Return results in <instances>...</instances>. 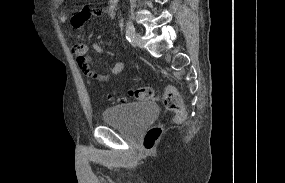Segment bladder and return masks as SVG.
Wrapping results in <instances>:
<instances>
[{
  "label": "bladder",
  "mask_w": 285,
  "mask_h": 183,
  "mask_svg": "<svg viewBox=\"0 0 285 183\" xmlns=\"http://www.w3.org/2000/svg\"><path fill=\"white\" fill-rule=\"evenodd\" d=\"M157 114L158 107L152 102L128 103L105 108L102 120L105 124L119 126L130 134H138Z\"/></svg>",
  "instance_id": "1"
}]
</instances>
